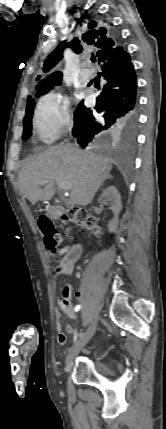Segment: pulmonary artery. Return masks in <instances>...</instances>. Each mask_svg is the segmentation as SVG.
<instances>
[{"label": "pulmonary artery", "instance_id": "pulmonary-artery-1", "mask_svg": "<svg viewBox=\"0 0 166 429\" xmlns=\"http://www.w3.org/2000/svg\"><path fill=\"white\" fill-rule=\"evenodd\" d=\"M89 66H90V62L87 61L85 68L83 70L84 76L80 79L82 84H86L90 80V78H92V70L89 69Z\"/></svg>", "mask_w": 166, "mask_h": 429}]
</instances>
